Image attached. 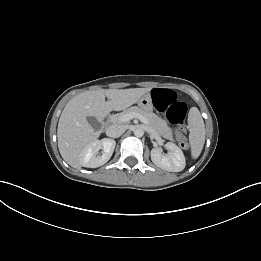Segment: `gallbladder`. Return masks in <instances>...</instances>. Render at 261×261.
<instances>
[{
	"instance_id": "bac80fb5",
	"label": "gallbladder",
	"mask_w": 261,
	"mask_h": 261,
	"mask_svg": "<svg viewBox=\"0 0 261 261\" xmlns=\"http://www.w3.org/2000/svg\"><path fill=\"white\" fill-rule=\"evenodd\" d=\"M87 120L94 130L101 128V123L95 117H88Z\"/></svg>"
}]
</instances>
